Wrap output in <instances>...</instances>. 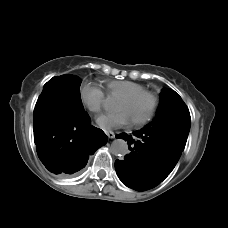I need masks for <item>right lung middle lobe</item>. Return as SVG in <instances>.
Instances as JSON below:
<instances>
[{
    "label": "right lung middle lobe",
    "instance_id": "1",
    "mask_svg": "<svg viewBox=\"0 0 228 228\" xmlns=\"http://www.w3.org/2000/svg\"><path fill=\"white\" fill-rule=\"evenodd\" d=\"M80 85L81 79L77 76L67 74L53 77L44 85L36 106L48 97H55V100L59 104L73 106L76 108L81 107L82 101L80 97Z\"/></svg>",
    "mask_w": 228,
    "mask_h": 228
}]
</instances>
